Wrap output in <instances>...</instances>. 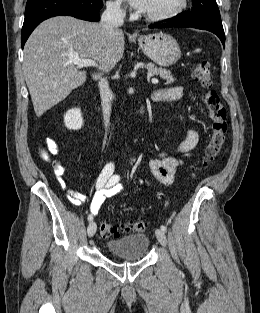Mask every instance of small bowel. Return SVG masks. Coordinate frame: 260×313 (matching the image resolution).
I'll use <instances>...</instances> for the list:
<instances>
[{"mask_svg": "<svg viewBox=\"0 0 260 313\" xmlns=\"http://www.w3.org/2000/svg\"><path fill=\"white\" fill-rule=\"evenodd\" d=\"M182 89L175 86L168 89H160L154 92V101L173 102L180 99ZM198 142V134L195 130H189L186 138L177 146L174 151L161 150L157 156L150 160L149 170L154 178L162 185H171L174 181L176 168L182 164V159L178 154L185 153L193 149ZM115 163L106 164L101 170L96 181V193L90 204V214L97 215L106 200L112 196H116L123 192L124 186L121 183V176L114 173ZM58 182L62 187L67 186V178L61 165L57 166ZM67 197L70 202L76 206L87 202L88 197L85 194L78 193L72 189H68Z\"/></svg>", "mask_w": 260, "mask_h": 313, "instance_id": "obj_1", "label": "small bowel"}]
</instances>
